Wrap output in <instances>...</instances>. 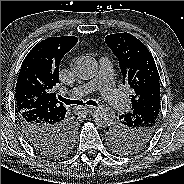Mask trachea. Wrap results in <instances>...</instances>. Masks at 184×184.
Wrapping results in <instances>:
<instances>
[{"instance_id":"trachea-1","label":"trachea","mask_w":184,"mask_h":184,"mask_svg":"<svg viewBox=\"0 0 184 184\" xmlns=\"http://www.w3.org/2000/svg\"><path fill=\"white\" fill-rule=\"evenodd\" d=\"M58 99L60 101L64 102L65 104H67V105H83L84 104V102L81 101V100H70V99L63 98L60 95H58ZM85 104L92 105V106H97V103L93 100H89Z\"/></svg>"}]
</instances>
